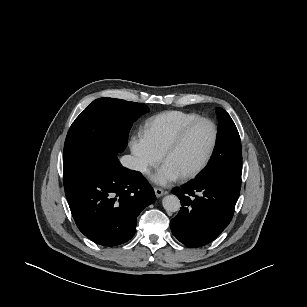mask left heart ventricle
Segmentation results:
<instances>
[{
    "mask_svg": "<svg viewBox=\"0 0 307 307\" xmlns=\"http://www.w3.org/2000/svg\"><path fill=\"white\" fill-rule=\"evenodd\" d=\"M213 131L209 124L194 127L181 145L166 159L181 175L195 169L205 157L212 141Z\"/></svg>",
    "mask_w": 307,
    "mask_h": 307,
    "instance_id": "left-heart-ventricle-1",
    "label": "left heart ventricle"
}]
</instances>
